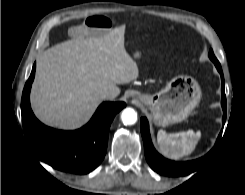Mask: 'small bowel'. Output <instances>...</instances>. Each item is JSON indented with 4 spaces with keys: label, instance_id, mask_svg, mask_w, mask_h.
I'll use <instances>...</instances> for the list:
<instances>
[{
    "label": "small bowel",
    "instance_id": "c3829d8e",
    "mask_svg": "<svg viewBox=\"0 0 245 195\" xmlns=\"http://www.w3.org/2000/svg\"><path fill=\"white\" fill-rule=\"evenodd\" d=\"M110 20L102 15L88 16L82 23L70 27L69 34L77 37L88 33H101L110 28Z\"/></svg>",
    "mask_w": 245,
    "mask_h": 195
}]
</instances>
